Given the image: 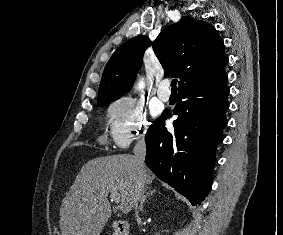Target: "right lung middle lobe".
Masks as SVG:
<instances>
[{"mask_svg": "<svg viewBox=\"0 0 283 235\" xmlns=\"http://www.w3.org/2000/svg\"><path fill=\"white\" fill-rule=\"evenodd\" d=\"M110 102H112V101L101 102V103H98V105L101 106V107H104V106H106L107 104H109Z\"/></svg>", "mask_w": 283, "mask_h": 235, "instance_id": "dd1d6c3e", "label": "right lung middle lobe"}]
</instances>
